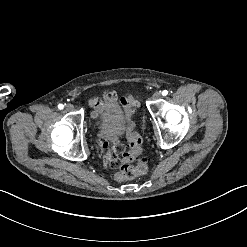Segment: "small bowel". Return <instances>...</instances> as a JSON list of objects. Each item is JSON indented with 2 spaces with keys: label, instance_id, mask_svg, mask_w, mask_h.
<instances>
[{
  "label": "small bowel",
  "instance_id": "1",
  "mask_svg": "<svg viewBox=\"0 0 247 247\" xmlns=\"http://www.w3.org/2000/svg\"><path fill=\"white\" fill-rule=\"evenodd\" d=\"M116 99V94L110 92L105 96L106 102L100 98H92L88 101V104L93 107L94 111L92 117L97 119L100 117L103 111L111 114L107 118V134L109 139L112 141L114 148L110 150V143L105 134L100 133L97 135L96 140L99 143V150L101 154V164L103 167L112 170L118 164L117 158H112V156L119 155L124 152L126 148L129 147L130 141L128 138H121L118 133V118L116 115L112 114L115 112L116 107L111 102Z\"/></svg>",
  "mask_w": 247,
  "mask_h": 247
}]
</instances>
